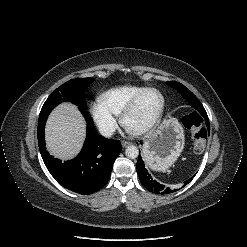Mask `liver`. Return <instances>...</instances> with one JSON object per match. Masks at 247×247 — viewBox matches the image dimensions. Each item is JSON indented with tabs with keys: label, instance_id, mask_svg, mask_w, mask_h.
I'll list each match as a JSON object with an SVG mask.
<instances>
[{
	"label": "liver",
	"instance_id": "liver-1",
	"mask_svg": "<svg viewBox=\"0 0 247 247\" xmlns=\"http://www.w3.org/2000/svg\"><path fill=\"white\" fill-rule=\"evenodd\" d=\"M46 146L62 160L75 157L85 137V122L77 107L70 103L59 105L46 124Z\"/></svg>",
	"mask_w": 247,
	"mask_h": 247
}]
</instances>
